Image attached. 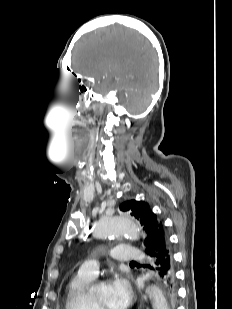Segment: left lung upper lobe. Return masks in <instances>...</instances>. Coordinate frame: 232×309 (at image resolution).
Masks as SVG:
<instances>
[{
    "label": "left lung upper lobe",
    "instance_id": "obj_1",
    "mask_svg": "<svg viewBox=\"0 0 232 309\" xmlns=\"http://www.w3.org/2000/svg\"><path fill=\"white\" fill-rule=\"evenodd\" d=\"M120 210L128 211L131 216L140 222L145 232V239L143 241L145 249L152 246L158 236V230L163 228V224L157 215L152 212L149 204L136 200L126 201L120 205ZM166 299L168 305L172 307L176 303V293L174 292L173 298L168 297L166 294Z\"/></svg>",
    "mask_w": 232,
    "mask_h": 309
}]
</instances>
